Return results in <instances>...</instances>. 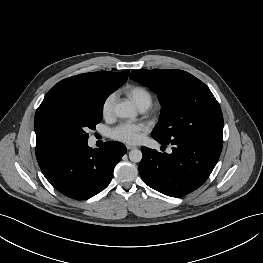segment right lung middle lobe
<instances>
[{
	"mask_svg": "<svg viewBox=\"0 0 263 263\" xmlns=\"http://www.w3.org/2000/svg\"><path fill=\"white\" fill-rule=\"evenodd\" d=\"M113 91L114 88L101 86L75 99L41 104L34 119L37 160L87 142V131L94 130L101 121L103 104Z\"/></svg>",
	"mask_w": 263,
	"mask_h": 263,
	"instance_id": "1",
	"label": "right lung middle lobe"
}]
</instances>
